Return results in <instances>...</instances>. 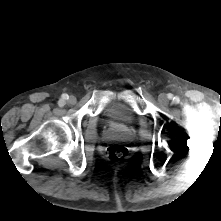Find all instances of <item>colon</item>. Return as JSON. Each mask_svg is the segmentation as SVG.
<instances>
[{
    "mask_svg": "<svg viewBox=\"0 0 221 221\" xmlns=\"http://www.w3.org/2000/svg\"><path fill=\"white\" fill-rule=\"evenodd\" d=\"M106 156L110 161H122L128 156V149L123 145L113 144L106 149Z\"/></svg>",
    "mask_w": 221,
    "mask_h": 221,
    "instance_id": "5ec220e1",
    "label": "colon"
}]
</instances>
